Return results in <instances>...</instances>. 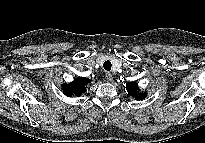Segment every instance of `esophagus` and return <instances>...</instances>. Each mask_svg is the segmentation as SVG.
Returning a JSON list of instances; mask_svg holds the SVG:
<instances>
[{
	"instance_id": "obj_1",
	"label": "esophagus",
	"mask_w": 205,
	"mask_h": 143,
	"mask_svg": "<svg viewBox=\"0 0 205 143\" xmlns=\"http://www.w3.org/2000/svg\"><path fill=\"white\" fill-rule=\"evenodd\" d=\"M106 79H107V81L112 82L113 81L112 74L111 73H106Z\"/></svg>"
}]
</instances>
